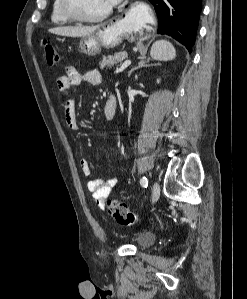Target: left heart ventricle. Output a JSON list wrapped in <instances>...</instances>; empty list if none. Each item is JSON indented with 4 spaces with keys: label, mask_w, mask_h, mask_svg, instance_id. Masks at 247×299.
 Returning a JSON list of instances; mask_svg holds the SVG:
<instances>
[{
    "label": "left heart ventricle",
    "mask_w": 247,
    "mask_h": 299,
    "mask_svg": "<svg viewBox=\"0 0 247 299\" xmlns=\"http://www.w3.org/2000/svg\"><path fill=\"white\" fill-rule=\"evenodd\" d=\"M76 11L84 16H96L108 9L109 0H73Z\"/></svg>",
    "instance_id": "left-heart-ventricle-1"
}]
</instances>
